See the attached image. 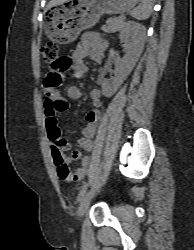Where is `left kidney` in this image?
Masks as SVG:
<instances>
[{"instance_id": "obj_1", "label": "left kidney", "mask_w": 194, "mask_h": 250, "mask_svg": "<svg viewBox=\"0 0 194 250\" xmlns=\"http://www.w3.org/2000/svg\"><path fill=\"white\" fill-rule=\"evenodd\" d=\"M119 38L121 42L126 43V56L122 65L116 70V77L112 82L113 92L119 88L136 65L144 49L146 28L135 21H128L124 24Z\"/></svg>"}]
</instances>
